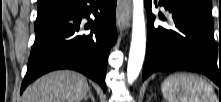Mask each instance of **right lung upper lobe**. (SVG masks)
<instances>
[{"label": "right lung upper lobe", "instance_id": "obj_1", "mask_svg": "<svg viewBox=\"0 0 221 102\" xmlns=\"http://www.w3.org/2000/svg\"><path fill=\"white\" fill-rule=\"evenodd\" d=\"M61 1H74V0H39L38 9L54 6L60 3Z\"/></svg>", "mask_w": 221, "mask_h": 102}]
</instances>
